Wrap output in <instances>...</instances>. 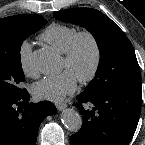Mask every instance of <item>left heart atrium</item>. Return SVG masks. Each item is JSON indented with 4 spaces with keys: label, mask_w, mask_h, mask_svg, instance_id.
<instances>
[{
    "label": "left heart atrium",
    "mask_w": 145,
    "mask_h": 145,
    "mask_svg": "<svg viewBox=\"0 0 145 145\" xmlns=\"http://www.w3.org/2000/svg\"><path fill=\"white\" fill-rule=\"evenodd\" d=\"M77 88V78L69 70L56 76H49L32 87V94L36 99L59 102Z\"/></svg>",
    "instance_id": "39dd6f15"
}]
</instances>
